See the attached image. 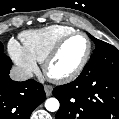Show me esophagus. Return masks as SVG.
<instances>
[{
	"label": "esophagus",
	"mask_w": 119,
	"mask_h": 119,
	"mask_svg": "<svg viewBox=\"0 0 119 119\" xmlns=\"http://www.w3.org/2000/svg\"><path fill=\"white\" fill-rule=\"evenodd\" d=\"M44 90H45V93H46L47 96H51L52 95V90H53L52 86L45 85L44 86Z\"/></svg>",
	"instance_id": "1"
}]
</instances>
